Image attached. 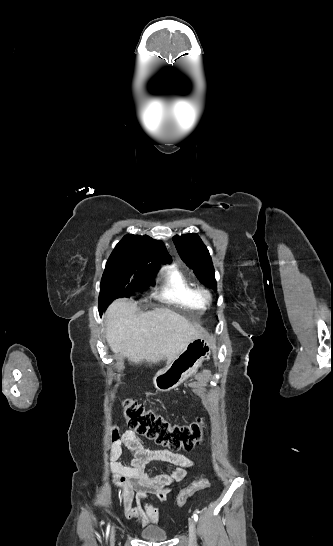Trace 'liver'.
<instances>
[{"label": "liver", "instance_id": "1", "mask_svg": "<svg viewBox=\"0 0 333 546\" xmlns=\"http://www.w3.org/2000/svg\"><path fill=\"white\" fill-rule=\"evenodd\" d=\"M104 319L111 350L135 364H168L203 335L200 326L168 308L138 313L136 303L125 298L115 300Z\"/></svg>", "mask_w": 333, "mask_h": 546}]
</instances>
